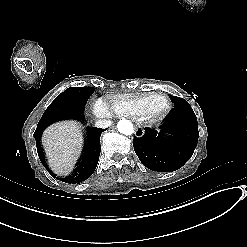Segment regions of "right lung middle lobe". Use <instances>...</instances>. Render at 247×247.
Returning a JSON list of instances; mask_svg holds the SVG:
<instances>
[{"instance_id": "dd1d6c3e", "label": "right lung middle lobe", "mask_w": 247, "mask_h": 247, "mask_svg": "<svg viewBox=\"0 0 247 247\" xmlns=\"http://www.w3.org/2000/svg\"><path fill=\"white\" fill-rule=\"evenodd\" d=\"M92 87H70L62 92L45 110L40 120L57 119L75 114H82Z\"/></svg>"}]
</instances>
